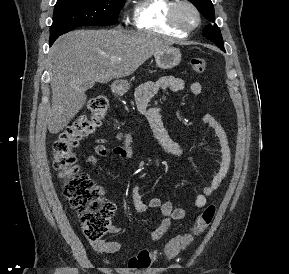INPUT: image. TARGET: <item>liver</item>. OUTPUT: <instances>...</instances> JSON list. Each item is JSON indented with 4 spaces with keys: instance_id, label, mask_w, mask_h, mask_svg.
I'll use <instances>...</instances> for the list:
<instances>
[{
    "instance_id": "liver-1",
    "label": "liver",
    "mask_w": 289,
    "mask_h": 274,
    "mask_svg": "<svg viewBox=\"0 0 289 274\" xmlns=\"http://www.w3.org/2000/svg\"><path fill=\"white\" fill-rule=\"evenodd\" d=\"M168 48L170 43L158 37L116 29L75 30L59 37L49 52V132L62 131L83 108L87 84L127 77Z\"/></svg>"
}]
</instances>
